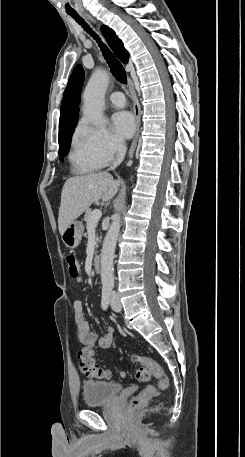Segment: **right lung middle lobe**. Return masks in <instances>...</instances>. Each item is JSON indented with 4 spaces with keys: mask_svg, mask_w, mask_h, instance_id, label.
<instances>
[{
    "mask_svg": "<svg viewBox=\"0 0 245 457\" xmlns=\"http://www.w3.org/2000/svg\"><path fill=\"white\" fill-rule=\"evenodd\" d=\"M77 122L62 126L59 128V158L62 160L67 155L70 149L71 136L75 130Z\"/></svg>",
    "mask_w": 245,
    "mask_h": 457,
    "instance_id": "dd1d6c3e",
    "label": "right lung middle lobe"
}]
</instances>
